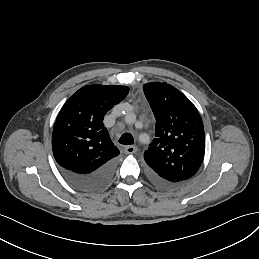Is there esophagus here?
I'll return each instance as SVG.
<instances>
[{
  "instance_id": "1",
  "label": "esophagus",
  "mask_w": 259,
  "mask_h": 259,
  "mask_svg": "<svg viewBox=\"0 0 259 259\" xmlns=\"http://www.w3.org/2000/svg\"><path fill=\"white\" fill-rule=\"evenodd\" d=\"M124 152L126 154H134L137 152V146L131 145V146H126L124 148Z\"/></svg>"
}]
</instances>
